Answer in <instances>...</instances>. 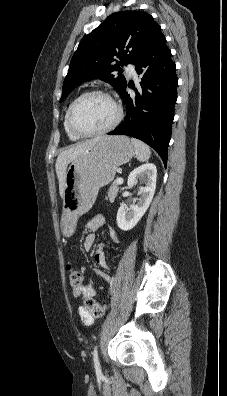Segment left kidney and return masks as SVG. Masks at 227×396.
<instances>
[{
  "label": "left kidney",
  "mask_w": 227,
  "mask_h": 396,
  "mask_svg": "<svg viewBox=\"0 0 227 396\" xmlns=\"http://www.w3.org/2000/svg\"><path fill=\"white\" fill-rule=\"evenodd\" d=\"M157 169L152 163L143 164L134 169L128 176L129 187L136 185L138 180L144 182L145 186L138 191V202L127 208L121 206L117 212V225L123 231L131 230L140 221L147 211L156 189Z\"/></svg>",
  "instance_id": "left-kidney-1"
}]
</instances>
